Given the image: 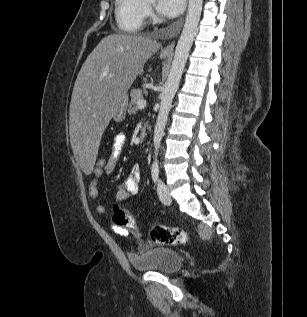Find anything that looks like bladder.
<instances>
[{
	"label": "bladder",
	"instance_id": "bladder-1",
	"mask_svg": "<svg viewBox=\"0 0 307 317\" xmlns=\"http://www.w3.org/2000/svg\"><path fill=\"white\" fill-rule=\"evenodd\" d=\"M129 261L136 271L175 273L184 263L181 253L170 248H152L141 255H129Z\"/></svg>",
	"mask_w": 307,
	"mask_h": 317
}]
</instances>
